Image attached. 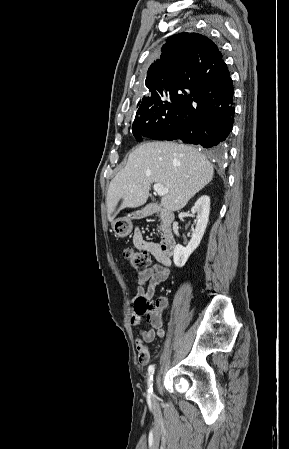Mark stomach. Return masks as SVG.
I'll return each instance as SVG.
<instances>
[{
    "mask_svg": "<svg viewBox=\"0 0 289 449\" xmlns=\"http://www.w3.org/2000/svg\"><path fill=\"white\" fill-rule=\"evenodd\" d=\"M112 228L117 237L125 238L131 233L133 225L129 217H122L112 222Z\"/></svg>",
    "mask_w": 289,
    "mask_h": 449,
    "instance_id": "obj_1",
    "label": "stomach"
}]
</instances>
